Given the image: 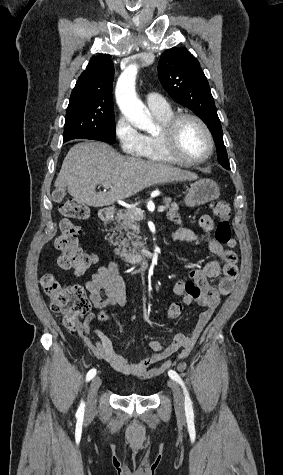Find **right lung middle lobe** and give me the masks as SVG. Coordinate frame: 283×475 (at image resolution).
Masks as SVG:
<instances>
[{
    "label": "right lung middle lobe",
    "instance_id": "1",
    "mask_svg": "<svg viewBox=\"0 0 283 475\" xmlns=\"http://www.w3.org/2000/svg\"><path fill=\"white\" fill-rule=\"evenodd\" d=\"M115 134L113 104L70 100L66 112L63 142L85 138L115 143Z\"/></svg>",
    "mask_w": 283,
    "mask_h": 475
}]
</instances>
